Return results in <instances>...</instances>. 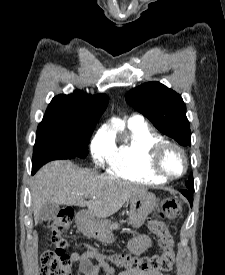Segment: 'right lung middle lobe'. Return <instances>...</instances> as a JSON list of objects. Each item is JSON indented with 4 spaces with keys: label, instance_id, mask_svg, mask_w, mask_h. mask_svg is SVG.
<instances>
[{
    "label": "right lung middle lobe",
    "instance_id": "dd1d6c3e",
    "mask_svg": "<svg viewBox=\"0 0 225 275\" xmlns=\"http://www.w3.org/2000/svg\"><path fill=\"white\" fill-rule=\"evenodd\" d=\"M95 126L66 120L42 121L33 149L32 173L51 160L85 158Z\"/></svg>",
    "mask_w": 225,
    "mask_h": 275
}]
</instances>
